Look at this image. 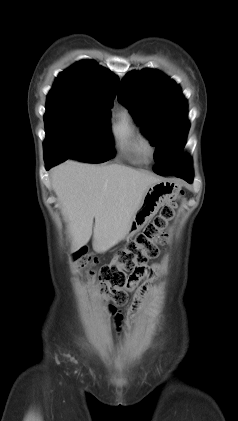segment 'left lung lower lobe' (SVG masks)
Returning <instances> with one entry per match:
<instances>
[{"instance_id": "obj_1", "label": "left lung lower lobe", "mask_w": 238, "mask_h": 421, "mask_svg": "<svg viewBox=\"0 0 238 421\" xmlns=\"http://www.w3.org/2000/svg\"><path fill=\"white\" fill-rule=\"evenodd\" d=\"M166 175H175L176 177L186 180L188 183H191L194 177L192 166L180 171H177V170L168 171L166 172Z\"/></svg>"}]
</instances>
